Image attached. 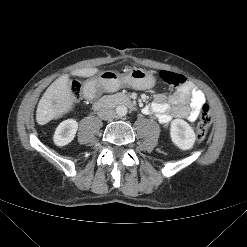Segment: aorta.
Returning a JSON list of instances; mask_svg holds the SVG:
<instances>
[{
	"mask_svg": "<svg viewBox=\"0 0 247 247\" xmlns=\"http://www.w3.org/2000/svg\"><path fill=\"white\" fill-rule=\"evenodd\" d=\"M128 112V109L125 105H119L117 106L116 108V114L119 116V117H123L127 114Z\"/></svg>",
	"mask_w": 247,
	"mask_h": 247,
	"instance_id": "762f6f07",
	"label": "aorta"
}]
</instances>
